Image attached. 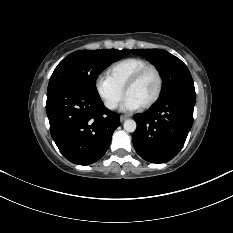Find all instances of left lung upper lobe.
I'll list each match as a JSON object with an SVG mask.
<instances>
[{
  "instance_id": "1",
  "label": "left lung upper lobe",
  "mask_w": 233,
  "mask_h": 233,
  "mask_svg": "<svg viewBox=\"0 0 233 233\" xmlns=\"http://www.w3.org/2000/svg\"><path fill=\"white\" fill-rule=\"evenodd\" d=\"M132 51L146 57L159 69L163 79L161 99L177 93L195 95L191 74L179 58L161 49H134Z\"/></svg>"
}]
</instances>
